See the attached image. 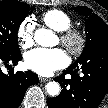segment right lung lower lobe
Listing matches in <instances>:
<instances>
[{
    "label": "right lung lower lobe",
    "mask_w": 108,
    "mask_h": 108,
    "mask_svg": "<svg viewBox=\"0 0 108 108\" xmlns=\"http://www.w3.org/2000/svg\"><path fill=\"white\" fill-rule=\"evenodd\" d=\"M22 60L21 53L14 56L0 55V108H17L22 102L25 92L30 85L38 83L37 74L32 71L9 72L4 74L2 64L16 65Z\"/></svg>",
    "instance_id": "right-lung-lower-lobe-1"
}]
</instances>
